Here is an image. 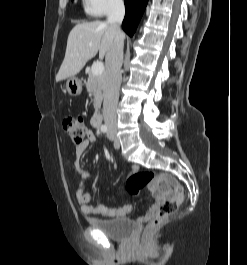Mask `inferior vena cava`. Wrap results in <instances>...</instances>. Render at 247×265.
Listing matches in <instances>:
<instances>
[{
	"label": "inferior vena cava",
	"mask_w": 247,
	"mask_h": 265,
	"mask_svg": "<svg viewBox=\"0 0 247 265\" xmlns=\"http://www.w3.org/2000/svg\"><path fill=\"white\" fill-rule=\"evenodd\" d=\"M125 15L123 0H113L108 12L107 22L115 29V39L108 50L105 63V95L103 104L104 122L108 127H116V108L122 80L121 67L123 63L124 34L120 24Z\"/></svg>",
	"instance_id": "obj_1"
}]
</instances>
